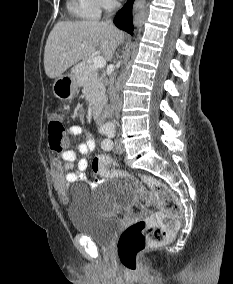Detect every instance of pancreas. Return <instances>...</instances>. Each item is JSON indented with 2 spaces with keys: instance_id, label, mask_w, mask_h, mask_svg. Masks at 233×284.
I'll list each match as a JSON object with an SVG mask.
<instances>
[{
  "instance_id": "1",
  "label": "pancreas",
  "mask_w": 233,
  "mask_h": 284,
  "mask_svg": "<svg viewBox=\"0 0 233 284\" xmlns=\"http://www.w3.org/2000/svg\"><path fill=\"white\" fill-rule=\"evenodd\" d=\"M73 70L86 91L89 104L93 107L103 106L107 101L103 83L104 75L99 76L98 70L86 62L76 65Z\"/></svg>"
}]
</instances>
